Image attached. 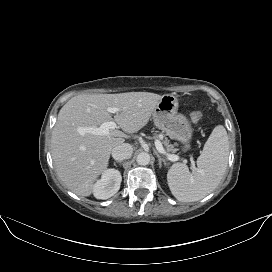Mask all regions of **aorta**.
Here are the masks:
<instances>
[{"label":"aorta","mask_w":272,"mask_h":272,"mask_svg":"<svg viewBox=\"0 0 272 272\" xmlns=\"http://www.w3.org/2000/svg\"><path fill=\"white\" fill-rule=\"evenodd\" d=\"M136 161L139 165H148L150 162V155L147 152H141L138 154Z\"/></svg>","instance_id":"obj_1"}]
</instances>
